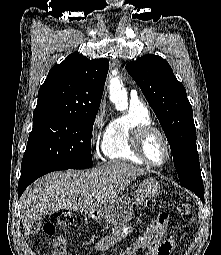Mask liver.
<instances>
[{
    "label": "liver",
    "instance_id": "liver-1",
    "mask_svg": "<svg viewBox=\"0 0 221 255\" xmlns=\"http://www.w3.org/2000/svg\"><path fill=\"white\" fill-rule=\"evenodd\" d=\"M147 170L113 161L87 171L53 172L29 186L20 198L25 236L42 216L60 210L92 213L108 203Z\"/></svg>",
    "mask_w": 221,
    "mask_h": 255
}]
</instances>
